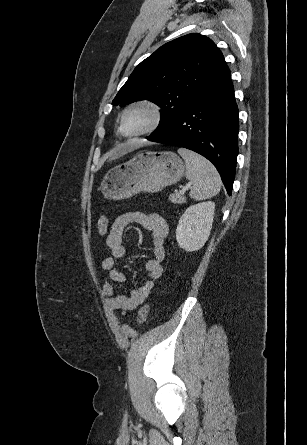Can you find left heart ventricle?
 Segmentation results:
<instances>
[{
  "label": "left heart ventricle",
  "instance_id": "1",
  "mask_svg": "<svg viewBox=\"0 0 307 445\" xmlns=\"http://www.w3.org/2000/svg\"><path fill=\"white\" fill-rule=\"evenodd\" d=\"M153 111L147 106L131 108L124 119V130L127 134H134L148 128L153 123Z\"/></svg>",
  "mask_w": 307,
  "mask_h": 445
}]
</instances>
